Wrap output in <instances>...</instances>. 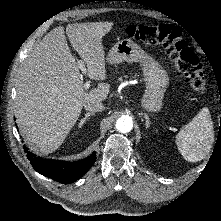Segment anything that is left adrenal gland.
Returning <instances> with one entry per match:
<instances>
[{
	"label": "left adrenal gland",
	"instance_id": "1",
	"mask_svg": "<svg viewBox=\"0 0 221 221\" xmlns=\"http://www.w3.org/2000/svg\"><path fill=\"white\" fill-rule=\"evenodd\" d=\"M144 117H145V119H146V128H148V127H150L151 122H150L149 117H148L147 114H144Z\"/></svg>",
	"mask_w": 221,
	"mask_h": 221
}]
</instances>
